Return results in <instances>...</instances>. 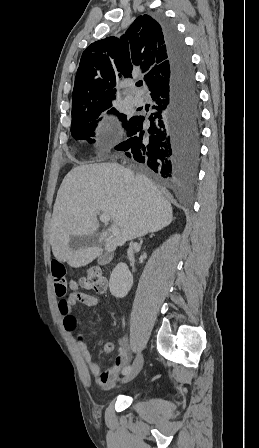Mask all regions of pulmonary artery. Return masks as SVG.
<instances>
[{"label":"pulmonary artery","instance_id":"obj_1","mask_svg":"<svg viewBox=\"0 0 259 448\" xmlns=\"http://www.w3.org/2000/svg\"><path fill=\"white\" fill-rule=\"evenodd\" d=\"M134 90L136 95L132 98L133 102L136 104H142L143 103V97L140 95V93L137 91L136 87H132L130 89H128L127 91H131Z\"/></svg>","mask_w":259,"mask_h":448}]
</instances>
